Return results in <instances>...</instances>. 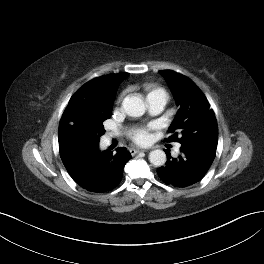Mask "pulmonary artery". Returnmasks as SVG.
Segmentation results:
<instances>
[{"label": "pulmonary artery", "instance_id": "obj_1", "mask_svg": "<svg viewBox=\"0 0 264 264\" xmlns=\"http://www.w3.org/2000/svg\"><path fill=\"white\" fill-rule=\"evenodd\" d=\"M167 103V97L162 93H154L148 96L147 104L149 107V111L152 115H157L161 113ZM180 145H177L176 149H178Z\"/></svg>", "mask_w": 264, "mask_h": 264}]
</instances>
